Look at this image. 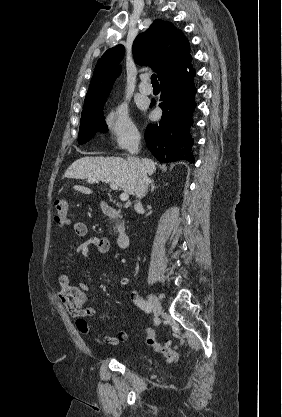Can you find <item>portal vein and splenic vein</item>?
I'll return each mask as SVG.
<instances>
[{
    "label": "portal vein and splenic vein",
    "mask_w": 282,
    "mask_h": 417,
    "mask_svg": "<svg viewBox=\"0 0 282 417\" xmlns=\"http://www.w3.org/2000/svg\"><path fill=\"white\" fill-rule=\"evenodd\" d=\"M88 182H98V180H96V178H91V180H88ZM110 186L111 188H113V190H118L117 184H113V182H110ZM120 198L121 200H128L129 198L128 192H122V194H120Z\"/></svg>",
    "instance_id": "obj_1"
}]
</instances>
